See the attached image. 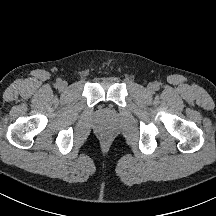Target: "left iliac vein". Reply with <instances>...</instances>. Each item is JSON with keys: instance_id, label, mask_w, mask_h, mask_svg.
Returning a JSON list of instances; mask_svg holds the SVG:
<instances>
[{"instance_id": "1", "label": "left iliac vein", "mask_w": 216, "mask_h": 216, "mask_svg": "<svg viewBox=\"0 0 216 216\" xmlns=\"http://www.w3.org/2000/svg\"><path fill=\"white\" fill-rule=\"evenodd\" d=\"M147 89H148L149 92H153V90H154V85H153V84H149V85L147 86Z\"/></svg>"}]
</instances>
